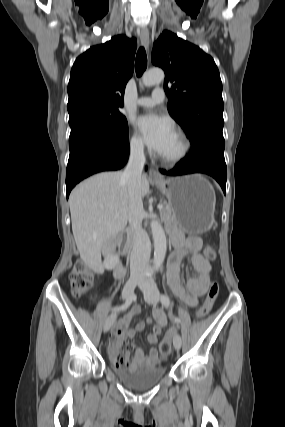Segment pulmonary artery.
<instances>
[{"label": "pulmonary artery", "mask_w": 285, "mask_h": 427, "mask_svg": "<svg viewBox=\"0 0 285 427\" xmlns=\"http://www.w3.org/2000/svg\"><path fill=\"white\" fill-rule=\"evenodd\" d=\"M165 97L164 91L161 88H156L151 96L142 97L137 100V105L145 108L154 107L163 102Z\"/></svg>", "instance_id": "1"}]
</instances>
